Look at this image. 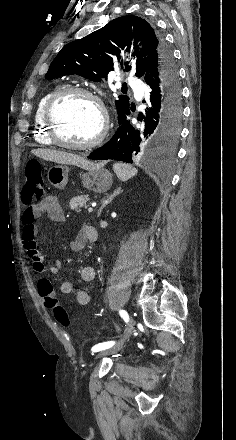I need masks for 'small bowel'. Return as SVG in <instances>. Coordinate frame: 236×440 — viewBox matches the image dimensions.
Masks as SVG:
<instances>
[{"label":"small bowel","mask_w":236,"mask_h":440,"mask_svg":"<svg viewBox=\"0 0 236 440\" xmlns=\"http://www.w3.org/2000/svg\"><path fill=\"white\" fill-rule=\"evenodd\" d=\"M46 215L53 222H63L65 220V214L59 200L54 196H47L37 204L28 206L22 215V233L21 241L22 246L27 252L33 270L36 273H44L46 270L51 274H57L61 261L56 260L48 268L43 263V257L36 245L37 227L36 220L41 216ZM97 239V231L94 227L84 224L81 226L79 233L70 243V247L73 251H80L84 248L88 242H94ZM80 276L83 281L90 282L94 279V270L90 266H84L81 268ZM61 292L65 295H72L75 293L76 300L80 305H87L91 301V295L86 290H78L75 292L73 283L65 281L61 284ZM43 304L49 308L45 299L42 297Z\"/></svg>","instance_id":"obj_1"}]
</instances>
